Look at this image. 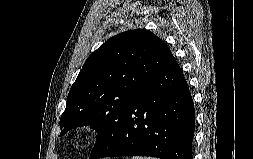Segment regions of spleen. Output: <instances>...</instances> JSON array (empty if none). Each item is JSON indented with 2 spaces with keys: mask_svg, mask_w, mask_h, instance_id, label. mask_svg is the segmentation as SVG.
Segmentation results:
<instances>
[{
  "mask_svg": "<svg viewBox=\"0 0 253 159\" xmlns=\"http://www.w3.org/2000/svg\"><path fill=\"white\" fill-rule=\"evenodd\" d=\"M132 159H157V158L146 156H134Z\"/></svg>",
  "mask_w": 253,
  "mask_h": 159,
  "instance_id": "spleen-1",
  "label": "spleen"
}]
</instances>
